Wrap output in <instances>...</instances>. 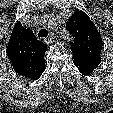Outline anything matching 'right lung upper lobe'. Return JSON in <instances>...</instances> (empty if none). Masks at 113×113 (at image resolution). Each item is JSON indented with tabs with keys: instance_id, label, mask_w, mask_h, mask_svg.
Masks as SVG:
<instances>
[{
	"instance_id": "cb5924a9",
	"label": "right lung upper lobe",
	"mask_w": 113,
	"mask_h": 113,
	"mask_svg": "<svg viewBox=\"0 0 113 113\" xmlns=\"http://www.w3.org/2000/svg\"><path fill=\"white\" fill-rule=\"evenodd\" d=\"M47 45L37 40L31 30L17 22L7 45V54L14 71L33 80L45 69L44 55Z\"/></svg>"
}]
</instances>
